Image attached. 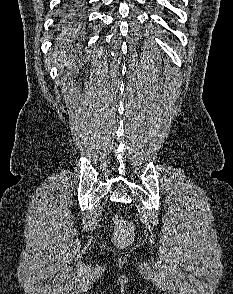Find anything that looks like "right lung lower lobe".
<instances>
[{
    "mask_svg": "<svg viewBox=\"0 0 233 294\" xmlns=\"http://www.w3.org/2000/svg\"><path fill=\"white\" fill-rule=\"evenodd\" d=\"M80 13L79 0H64V7L60 16V34L63 37L73 38L77 36Z\"/></svg>",
    "mask_w": 233,
    "mask_h": 294,
    "instance_id": "right-lung-lower-lobe-1",
    "label": "right lung lower lobe"
}]
</instances>
